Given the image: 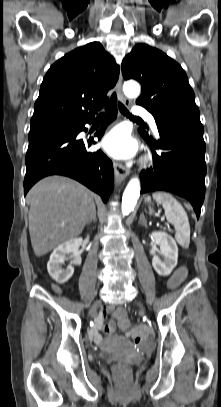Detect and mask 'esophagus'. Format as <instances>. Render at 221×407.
Segmentation results:
<instances>
[{
  "label": "esophagus",
  "mask_w": 221,
  "mask_h": 407,
  "mask_svg": "<svg viewBox=\"0 0 221 407\" xmlns=\"http://www.w3.org/2000/svg\"><path fill=\"white\" fill-rule=\"evenodd\" d=\"M116 90H117V94L121 100V102L123 104H125L126 106L130 105V100L128 98H126L123 94L122 91V74L120 72L119 74V79L118 82L116 84ZM114 172H115V180L117 183L122 182L129 174V170L122 165L121 163L115 162L114 163Z\"/></svg>",
  "instance_id": "34e87169"
}]
</instances>
